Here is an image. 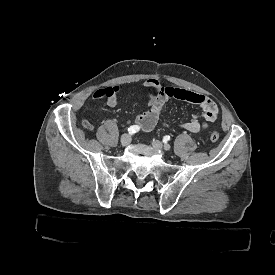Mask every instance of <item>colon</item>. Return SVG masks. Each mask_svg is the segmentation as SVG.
Listing matches in <instances>:
<instances>
[{
  "instance_id": "5ec220e1",
  "label": "colon",
  "mask_w": 275,
  "mask_h": 275,
  "mask_svg": "<svg viewBox=\"0 0 275 275\" xmlns=\"http://www.w3.org/2000/svg\"><path fill=\"white\" fill-rule=\"evenodd\" d=\"M158 91H159V88H158V86H156V85H152V86H150V88H149V93H150V95H152V96L157 95ZM83 127L86 128V129H89V130H91V129L93 128V126L91 125V123L88 122V121H83ZM210 140H211L212 142L218 141V140H219V134H218V132L213 131V132L210 134Z\"/></svg>"
}]
</instances>
